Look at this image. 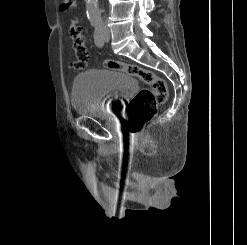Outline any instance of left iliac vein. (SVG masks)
Returning a JSON list of instances; mask_svg holds the SVG:
<instances>
[{"label":"left iliac vein","instance_id":"4c4485c4","mask_svg":"<svg viewBox=\"0 0 247 245\" xmlns=\"http://www.w3.org/2000/svg\"><path fill=\"white\" fill-rule=\"evenodd\" d=\"M103 37L106 42H109L110 40V31L107 27H104L103 29Z\"/></svg>","mask_w":247,"mask_h":245}]
</instances>
